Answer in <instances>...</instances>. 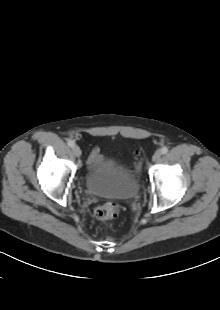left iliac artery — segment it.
<instances>
[{
    "label": "left iliac artery",
    "instance_id": "left-iliac-artery-1",
    "mask_svg": "<svg viewBox=\"0 0 220 310\" xmlns=\"http://www.w3.org/2000/svg\"><path fill=\"white\" fill-rule=\"evenodd\" d=\"M168 152V148L166 146L162 147L161 153L166 154Z\"/></svg>",
    "mask_w": 220,
    "mask_h": 310
}]
</instances>
